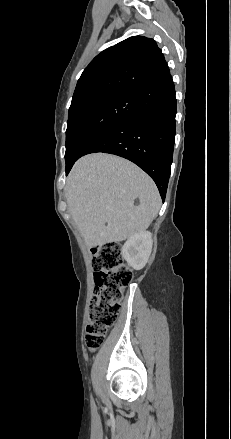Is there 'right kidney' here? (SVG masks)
I'll list each match as a JSON object with an SVG mask.
<instances>
[{"instance_id":"1","label":"right kidney","mask_w":231,"mask_h":439,"mask_svg":"<svg viewBox=\"0 0 231 439\" xmlns=\"http://www.w3.org/2000/svg\"><path fill=\"white\" fill-rule=\"evenodd\" d=\"M151 250L152 234L142 231L135 233L125 242L121 254L133 269L140 270L146 265Z\"/></svg>"}]
</instances>
